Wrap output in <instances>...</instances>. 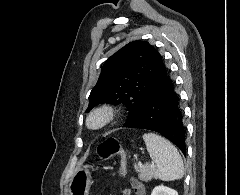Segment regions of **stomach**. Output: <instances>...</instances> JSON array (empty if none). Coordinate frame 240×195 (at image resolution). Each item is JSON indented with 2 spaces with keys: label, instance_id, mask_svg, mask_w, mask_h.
Here are the masks:
<instances>
[{
  "label": "stomach",
  "instance_id": "obj_1",
  "mask_svg": "<svg viewBox=\"0 0 240 195\" xmlns=\"http://www.w3.org/2000/svg\"><path fill=\"white\" fill-rule=\"evenodd\" d=\"M90 165H80L71 181V195H88L92 183Z\"/></svg>",
  "mask_w": 240,
  "mask_h": 195
}]
</instances>
